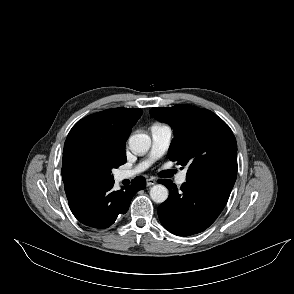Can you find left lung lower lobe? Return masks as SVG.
I'll return each instance as SVG.
<instances>
[{"label": "left lung lower lobe", "instance_id": "1", "mask_svg": "<svg viewBox=\"0 0 294 294\" xmlns=\"http://www.w3.org/2000/svg\"><path fill=\"white\" fill-rule=\"evenodd\" d=\"M169 189V198L158 207L161 224L178 236L200 233L223 210L234 186L231 175L186 179L178 190L171 180H158Z\"/></svg>", "mask_w": 294, "mask_h": 294}]
</instances>
